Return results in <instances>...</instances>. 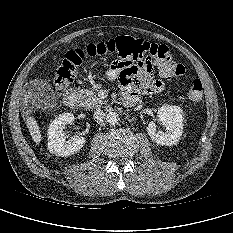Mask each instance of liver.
I'll use <instances>...</instances> for the list:
<instances>
[{"instance_id":"obj_1","label":"liver","mask_w":233,"mask_h":233,"mask_svg":"<svg viewBox=\"0 0 233 233\" xmlns=\"http://www.w3.org/2000/svg\"><path fill=\"white\" fill-rule=\"evenodd\" d=\"M24 99H25V103H28L31 99L30 94H26L24 96ZM26 125H27V128L29 129L30 135L32 139L34 140V142L36 144H39L42 137H41V132H40V129H39V126L36 120L33 117H28L26 119Z\"/></svg>"}]
</instances>
